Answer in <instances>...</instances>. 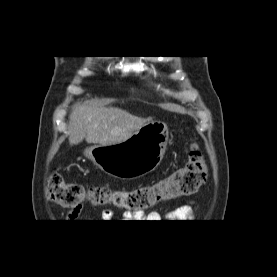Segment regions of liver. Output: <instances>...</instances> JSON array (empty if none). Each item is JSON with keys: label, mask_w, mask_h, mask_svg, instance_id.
Segmentation results:
<instances>
[{"label": "liver", "mask_w": 277, "mask_h": 277, "mask_svg": "<svg viewBox=\"0 0 277 277\" xmlns=\"http://www.w3.org/2000/svg\"><path fill=\"white\" fill-rule=\"evenodd\" d=\"M133 116L119 108L97 106L92 103L76 104L69 116V143L77 145L87 143L111 145L123 142L133 133L151 122Z\"/></svg>", "instance_id": "liver-1"}]
</instances>
